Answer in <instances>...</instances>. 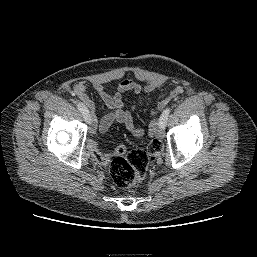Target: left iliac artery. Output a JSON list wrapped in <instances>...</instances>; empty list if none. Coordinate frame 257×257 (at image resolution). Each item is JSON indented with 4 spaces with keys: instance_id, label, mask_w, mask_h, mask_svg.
Wrapping results in <instances>:
<instances>
[{
    "instance_id": "1",
    "label": "left iliac artery",
    "mask_w": 257,
    "mask_h": 257,
    "mask_svg": "<svg viewBox=\"0 0 257 257\" xmlns=\"http://www.w3.org/2000/svg\"><path fill=\"white\" fill-rule=\"evenodd\" d=\"M170 112H171L170 107L166 108V109L162 112V114H161V116H160V120H159V124H160V125H163L164 127L166 126V123H167L168 116H169Z\"/></svg>"
}]
</instances>
